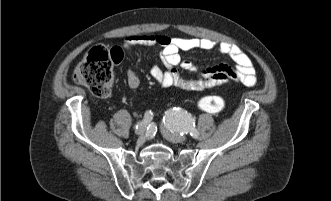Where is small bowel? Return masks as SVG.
I'll return each mask as SVG.
<instances>
[{
  "label": "small bowel",
  "instance_id": "small-bowel-1",
  "mask_svg": "<svg viewBox=\"0 0 331 201\" xmlns=\"http://www.w3.org/2000/svg\"><path fill=\"white\" fill-rule=\"evenodd\" d=\"M137 46H160L161 58L165 69L154 65L150 69L153 79L162 87L177 86L188 91H200L230 81L240 82L246 86H254L257 82L256 71L249 56L237 45L216 42L210 39L168 37L166 35L135 34L128 36L123 42V49L130 50ZM229 56L235 63L232 68L218 64L204 69L197 68L192 62L182 57V52L192 50H213ZM178 67L195 73L197 78L188 79L180 75ZM127 84L130 89L140 86V78L133 70L127 71Z\"/></svg>",
  "mask_w": 331,
  "mask_h": 201
}]
</instances>
